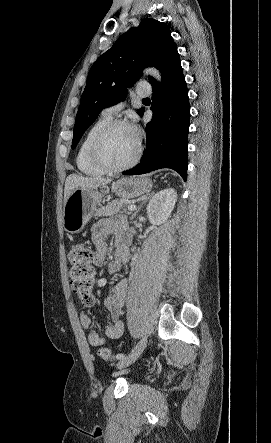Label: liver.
<instances>
[{
    "label": "liver",
    "mask_w": 271,
    "mask_h": 443,
    "mask_svg": "<svg viewBox=\"0 0 271 443\" xmlns=\"http://www.w3.org/2000/svg\"><path fill=\"white\" fill-rule=\"evenodd\" d=\"M110 182L112 180H106V178H83V176H77V174H70L65 180L64 206L68 196L75 188H100V186H106Z\"/></svg>",
    "instance_id": "1"
}]
</instances>
